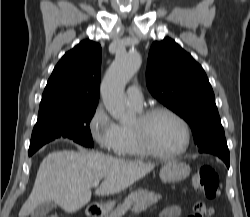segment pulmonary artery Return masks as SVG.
<instances>
[{"mask_svg":"<svg viewBox=\"0 0 250 217\" xmlns=\"http://www.w3.org/2000/svg\"><path fill=\"white\" fill-rule=\"evenodd\" d=\"M127 99L129 104L135 109H141L144 102L142 90L139 85L132 84L127 89Z\"/></svg>","mask_w":250,"mask_h":217,"instance_id":"obj_1","label":"pulmonary artery"}]
</instances>
